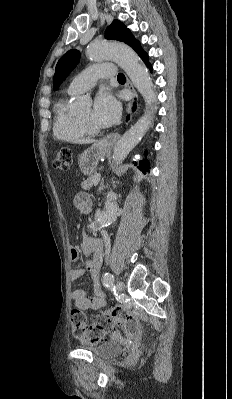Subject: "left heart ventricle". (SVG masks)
<instances>
[{"instance_id": "obj_1", "label": "left heart ventricle", "mask_w": 232, "mask_h": 399, "mask_svg": "<svg viewBox=\"0 0 232 399\" xmlns=\"http://www.w3.org/2000/svg\"><path fill=\"white\" fill-rule=\"evenodd\" d=\"M91 109L86 108L84 110L81 111V113L78 115L79 117H81L82 119L86 120L93 128L97 129V130H103L104 128L101 127L100 125H98L96 122H94L92 120L91 117Z\"/></svg>"}]
</instances>
